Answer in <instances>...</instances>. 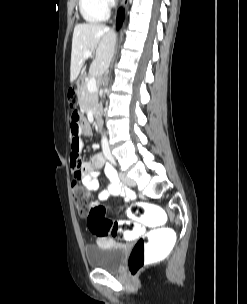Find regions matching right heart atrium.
I'll list each match as a JSON object with an SVG mask.
<instances>
[{
	"mask_svg": "<svg viewBox=\"0 0 247 304\" xmlns=\"http://www.w3.org/2000/svg\"><path fill=\"white\" fill-rule=\"evenodd\" d=\"M102 6L107 10L112 7L115 3V0H100Z\"/></svg>",
	"mask_w": 247,
	"mask_h": 304,
	"instance_id": "obj_1",
	"label": "right heart atrium"
}]
</instances>
